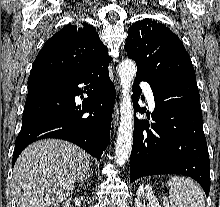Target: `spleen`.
I'll return each instance as SVG.
<instances>
[{
  "label": "spleen",
  "instance_id": "obj_1",
  "mask_svg": "<svg viewBox=\"0 0 220 207\" xmlns=\"http://www.w3.org/2000/svg\"><path fill=\"white\" fill-rule=\"evenodd\" d=\"M168 184L170 207H205L203 193L191 179L173 176Z\"/></svg>",
  "mask_w": 220,
  "mask_h": 207
}]
</instances>
